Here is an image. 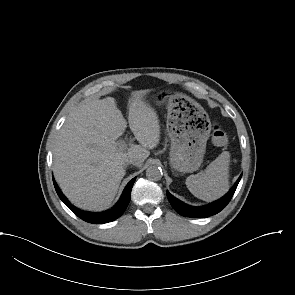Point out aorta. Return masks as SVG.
Here are the masks:
<instances>
[{"instance_id":"obj_1","label":"aorta","mask_w":295,"mask_h":295,"mask_svg":"<svg viewBox=\"0 0 295 295\" xmlns=\"http://www.w3.org/2000/svg\"><path fill=\"white\" fill-rule=\"evenodd\" d=\"M162 169L156 165H151L146 170V177L152 181H158L162 178Z\"/></svg>"}]
</instances>
